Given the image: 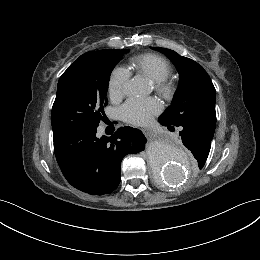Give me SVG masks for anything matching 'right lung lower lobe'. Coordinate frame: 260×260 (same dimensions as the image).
<instances>
[{"instance_id": "right-lung-lower-lobe-1", "label": "right lung lower lobe", "mask_w": 260, "mask_h": 260, "mask_svg": "<svg viewBox=\"0 0 260 260\" xmlns=\"http://www.w3.org/2000/svg\"><path fill=\"white\" fill-rule=\"evenodd\" d=\"M97 127L53 134L58 165L75 188L92 194L113 192L121 181V161L144 150L146 138L139 129L121 127L111 137H96Z\"/></svg>"}]
</instances>
